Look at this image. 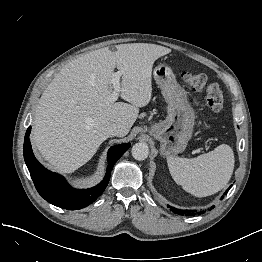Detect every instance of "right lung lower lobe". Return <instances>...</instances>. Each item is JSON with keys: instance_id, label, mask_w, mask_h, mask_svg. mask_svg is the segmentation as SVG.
I'll return each mask as SVG.
<instances>
[{"instance_id": "1", "label": "right lung lower lobe", "mask_w": 262, "mask_h": 262, "mask_svg": "<svg viewBox=\"0 0 262 262\" xmlns=\"http://www.w3.org/2000/svg\"><path fill=\"white\" fill-rule=\"evenodd\" d=\"M30 131L31 127L25 134L23 154L34 185L46 201L68 210L84 208L103 193L114 164L130 147L129 143L111 147L108 151V167L104 179L93 188L78 190L72 188L62 176L48 171L37 161L29 141Z\"/></svg>"}]
</instances>
